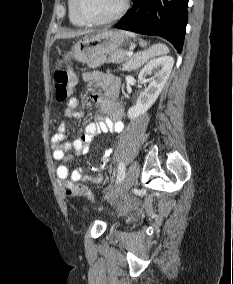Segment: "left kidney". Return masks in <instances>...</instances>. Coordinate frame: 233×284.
Wrapping results in <instances>:
<instances>
[{
  "label": "left kidney",
  "instance_id": "obj_1",
  "mask_svg": "<svg viewBox=\"0 0 233 284\" xmlns=\"http://www.w3.org/2000/svg\"><path fill=\"white\" fill-rule=\"evenodd\" d=\"M173 65V57L165 55L150 60L141 69L138 80L142 83H150L140 93L136 105L128 110L127 115L129 119L134 120L143 115L154 104L170 76ZM148 75H153V77L147 79Z\"/></svg>",
  "mask_w": 233,
  "mask_h": 284
}]
</instances>
